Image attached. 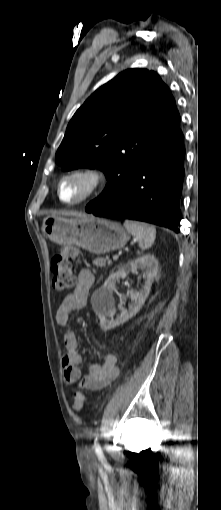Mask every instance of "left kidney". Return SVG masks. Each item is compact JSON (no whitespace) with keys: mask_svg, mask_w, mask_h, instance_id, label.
I'll return each mask as SVG.
<instances>
[{"mask_svg":"<svg viewBox=\"0 0 221 510\" xmlns=\"http://www.w3.org/2000/svg\"><path fill=\"white\" fill-rule=\"evenodd\" d=\"M158 266V260L153 255H143L118 268L117 271L107 278L103 286L94 292L91 298L92 308L98 316L100 320V327L103 330L106 331L115 328L125 323L139 312L149 295L154 277L158 272ZM137 269L144 271V286L140 291L129 290L127 291L126 296L122 294L119 295L120 301L129 297L132 303L129 305L128 309H125L122 305H120V314L116 317V319H113L115 314L113 291L115 290L116 282H118L121 278H126L130 272Z\"/></svg>","mask_w":221,"mask_h":510,"instance_id":"5707ae66","label":"left kidney"}]
</instances>
